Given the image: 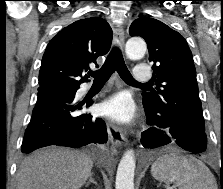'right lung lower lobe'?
Segmentation results:
<instances>
[{"instance_id":"right-lung-lower-lobe-1","label":"right lung lower lobe","mask_w":223,"mask_h":189,"mask_svg":"<svg viewBox=\"0 0 223 189\" xmlns=\"http://www.w3.org/2000/svg\"><path fill=\"white\" fill-rule=\"evenodd\" d=\"M77 90L38 92L22 143L23 153L49 145L77 148L107 142L105 122L90 114L79 113L85 103L76 102ZM92 102L88 101L86 105L90 106Z\"/></svg>"}]
</instances>
